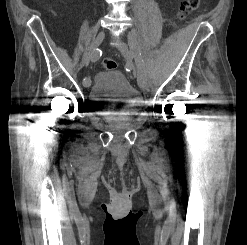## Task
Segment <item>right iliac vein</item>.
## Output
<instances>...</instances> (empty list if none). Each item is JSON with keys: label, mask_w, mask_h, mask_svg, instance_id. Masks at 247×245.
Instances as JSON below:
<instances>
[{"label": "right iliac vein", "mask_w": 247, "mask_h": 245, "mask_svg": "<svg viewBox=\"0 0 247 245\" xmlns=\"http://www.w3.org/2000/svg\"><path fill=\"white\" fill-rule=\"evenodd\" d=\"M104 38H105V32L103 31V30H101L99 33H98V35H97V37L95 38V40L93 41V44H92V47H91V53L94 51V50H96L100 45H101V43H102V41L104 40ZM91 62H92V64H97V62H98V57H91ZM91 85V80H90V78H88V77H86V78H84L83 79V86L84 87H89Z\"/></svg>", "instance_id": "1"}]
</instances>
